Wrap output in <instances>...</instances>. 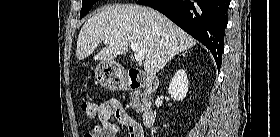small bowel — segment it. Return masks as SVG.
<instances>
[{
	"mask_svg": "<svg viewBox=\"0 0 280 137\" xmlns=\"http://www.w3.org/2000/svg\"><path fill=\"white\" fill-rule=\"evenodd\" d=\"M114 117L121 125L127 126L129 137H131V128L141 129L140 126L128 115L121 104L115 99H109L101 104L98 118L99 124L86 132L84 137H117L119 127L112 122Z\"/></svg>",
	"mask_w": 280,
	"mask_h": 137,
	"instance_id": "1",
	"label": "small bowel"
}]
</instances>
